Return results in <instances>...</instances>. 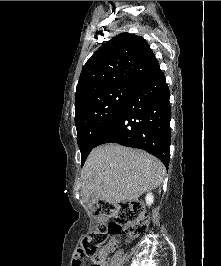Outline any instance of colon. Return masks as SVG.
I'll return each instance as SVG.
<instances>
[{
  "label": "colon",
  "instance_id": "1",
  "mask_svg": "<svg viewBox=\"0 0 221 266\" xmlns=\"http://www.w3.org/2000/svg\"><path fill=\"white\" fill-rule=\"evenodd\" d=\"M96 215L103 218H113L110 224H101L88 234L82 242L85 247L83 258L92 259V266H105V250L102 248L109 236L127 235L138 237L147 232L149 219L144 213L140 201H124L99 203Z\"/></svg>",
  "mask_w": 221,
  "mask_h": 266
}]
</instances>
